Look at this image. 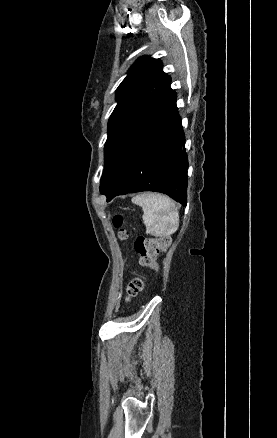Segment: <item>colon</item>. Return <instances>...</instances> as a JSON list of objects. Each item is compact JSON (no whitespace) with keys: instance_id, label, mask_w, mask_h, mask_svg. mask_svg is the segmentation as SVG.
Masks as SVG:
<instances>
[{"instance_id":"colon-1","label":"colon","mask_w":277,"mask_h":438,"mask_svg":"<svg viewBox=\"0 0 277 438\" xmlns=\"http://www.w3.org/2000/svg\"><path fill=\"white\" fill-rule=\"evenodd\" d=\"M123 223V217L116 216L114 226L119 227ZM122 239L128 237V232L122 230L119 232ZM168 245V241L163 238H154L147 235H138L135 240V251L140 255L141 266L146 268H157L156 258L159 253L163 252ZM143 288V280L139 276L132 278L126 285V295L128 297L135 296L141 292Z\"/></svg>"}]
</instances>
